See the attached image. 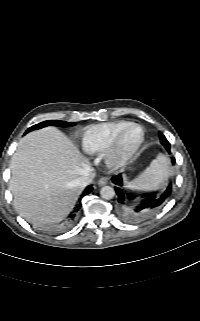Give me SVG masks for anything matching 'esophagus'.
Listing matches in <instances>:
<instances>
[{
    "instance_id": "1",
    "label": "esophagus",
    "mask_w": 200,
    "mask_h": 321,
    "mask_svg": "<svg viewBox=\"0 0 200 321\" xmlns=\"http://www.w3.org/2000/svg\"><path fill=\"white\" fill-rule=\"evenodd\" d=\"M106 184H107V179H106V178L102 177V178H100V179L98 180V185H99V186H104V185H106Z\"/></svg>"
}]
</instances>
